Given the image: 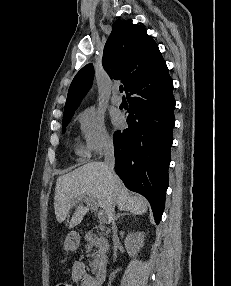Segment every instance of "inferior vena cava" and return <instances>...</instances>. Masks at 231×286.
Instances as JSON below:
<instances>
[{"label":"inferior vena cava","instance_id":"obj_1","mask_svg":"<svg viewBox=\"0 0 231 286\" xmlns=\"http://www.w3.org/2000/svg\"><path fill=\"white\" fill-rule=\"evenodd\" d=\"M104 156H105L106 171L107 174L111 177L114 175V165H115L114 145L112 140H107L104 143ZM114 207L115 205L113 204L109 211V217L112 221L113 239H116L117 235H116Z\"/></svg>","mask_w":231,"mask_h":286}]
</instances>
